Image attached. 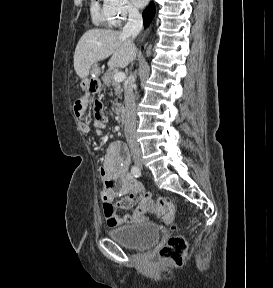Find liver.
<instances>
[{
	"label": "liver",
	"instance_id": "liver-1",
	"mask_svg": "<svg viewBox=\"0 0 273 288\" xmlns=\"http://www.w3.org/2000/svg\"><path fill=\"white\" fill-rule=\"evenodd\" d=\"M136 55V48L130 38L121 31L91 29L80 38L74 53V69L84 79L92 65L111 56L108 66L125 68Z\"/></svg>",
	"mask_w": 273,
	"mask_h": 288
}]
</instances>
